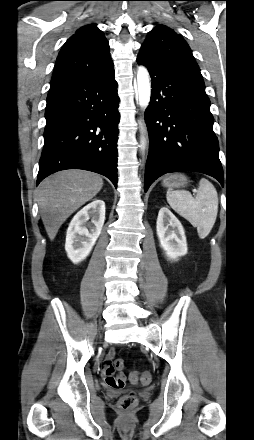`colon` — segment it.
Returning a JSON list of instances; mask_svg holds the SVG:
<instances>
[{
    "mask_svg": "<svg viewBox=\"0 0 254 440\" xmlns=\"http://www.w3.org/2000/svg\"><path fill=\"white\" fill-rule=\"evenodd\" d=\"M125 368V361L123 359H116L114 361V369L121 373ZM152 380L151 373L148 371L139 373V372H132L130 374V381L133 384L141 383V384H148ZM113 385L116 388H122L125 385V378L123 375H120L116 380L113 382ZM137 399L134 394H127L123 396L119 401V406L123 410H131L136 405Z\"/></svg>",
    "mask_w": 254,
    "mask_h": 440,
    "instance_id": "1",
    "label": "colon"
}]
</instances>
